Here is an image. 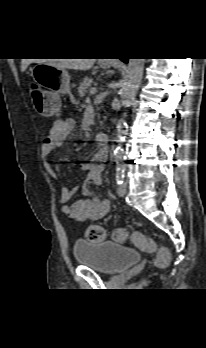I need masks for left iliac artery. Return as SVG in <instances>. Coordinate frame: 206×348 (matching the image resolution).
Listing matches in <instances>:
<instances>
[{
    "label": "left iliac artery",
    "mask_w": 206,
    "mask_h": 348,
    "mask_svg": "<svg viewBox=\"0 0 206 348\" xmlns=\"http://www.w3.org/2000/svg\"><path fill=\"white\" fill-rule=\"evenodd\" d=\"M124 178H125V171L123 168L121 167H118L117 168V171H116V181H117V184H122L123 181H124Z\"/></svg>",
    "instance_id": "left-iliac-artery-1"
}]
</instances>
